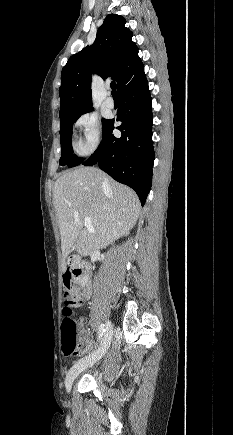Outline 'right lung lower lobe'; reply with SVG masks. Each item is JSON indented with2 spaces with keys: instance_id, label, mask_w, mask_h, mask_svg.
<instances>
[{
  "instance_id": "98d812e1",
  "label": "right lung lower lobe",
  "mask_w": 233,
  "mask_h": 435,
  "mask_svg": "<svg viewBox=\"0 0 233 435\" xmlns=\"http://www.w3.org/2000/svg\"><path fill=\"white\" fill-rule=\"evenodd\" d=\"M121 106L116 127L122 136L113 134L114 119L109 120L97 150L84 162L85 166L98 164L116 181L131 187L142 206L152 184L154 149L152 142V99L145 73L123 84L119 91Z\"/></svg>"
}]
</instances>
